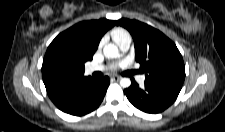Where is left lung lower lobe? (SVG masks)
<instances>
[{
	"instance_id": "obj_1",
	"label": "left lung lower lobe",
	"mask_w": 225,
	"mask_h": 132,
	"mask_svg": "<svg viewBox=\"0 0 225 132\" xmlns=\"http://www.w3.org/2000/svg\"><path fill=\"white\" fill-rule=\"evenodd\" d=\"M182 86L145 80L139 87L134 79L131 86L124 90L129 102L146 113H160L168 108L177 98Z\"/></svg>"
}]
</instances>
